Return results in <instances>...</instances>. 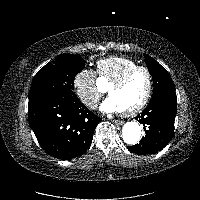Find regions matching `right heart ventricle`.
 Instances as JSON below:
<instances>
[{
	"label": "right heart ventricle",
	"instance_id": "e07e8e85",
	"mask_svg": "<svg viewBox=\"0 0 200 200\" xmlns=\"http://www.w3.org/2000/svg\"><path fill=\"white\" fill-rule=\"evenodd\" d=\"M138 66L135 61L124 56L107 57L97 63L100 78L108 84H112L126 72Z\"/></svg>",
	"mask_w": 200,
	"mask_h": 200
}]
</instances>
